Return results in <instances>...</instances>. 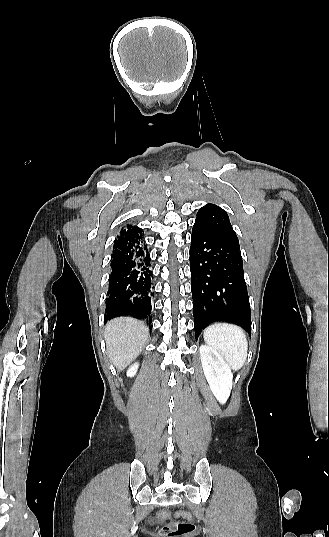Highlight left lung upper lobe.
<instances>
[{
    "instance_id": "left-lung-upper-lobe-1",
    "label": "left lung upper lobe",
    "mask_w": 329,
    "mask_h": 537,
    "mask_svg": "<svg viewBox=\"0 0 329 537\" xmlns=\"http://www.w3.org/2000/svg\"><path fill=\"white\" fill-rule=\"evenodd\" d=\"M195 223H199L210 232L239 246V240L231 226L229 216L219 206L209 204L202 207L197 213Z\"/></svg>"
}]
</instances>
